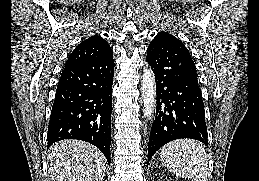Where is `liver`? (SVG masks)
Listing matches in <instances>:
<instances>
[{"label": "liver", "instance_id": "obj_1", "mask_svg": "<svg viewBox=\"0 0 259 181\" xmlns=\"http://www.w3.org/2000/svg\"><path fill=\"white\" fill-rule=\"evenodd\" d=\"M49 181H101L106 159L98 148L79 140H62L47 155Z\"/></svg>", "mask_w": 259, "mask_h": 181}]
</instances>
